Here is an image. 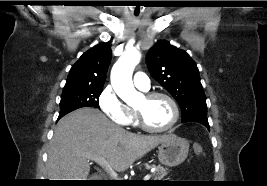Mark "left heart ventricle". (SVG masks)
Masks as SVG:
<instances>
[{
  "label": "left heart ventricle",
  "instance_id": "b2bd125f",
  "mask_svg": "<svg viewBox=\"0 0 267 186\" xmlns=\"http://www.w3.org/2000/svg\"><path fill=\"white\" fill-rule=\"evenodd\" d=\"M136 108L142 111L146 123L153 128L166 126L173 116L171 104L163 97L151 100L142 98Z\"/></svg>",
  "mask_w": 267,
  "mask_h": 186
}]
</instances>
